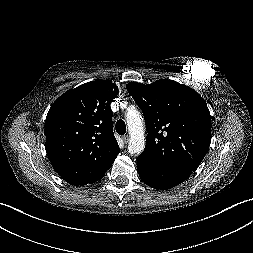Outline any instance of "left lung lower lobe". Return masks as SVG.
Returning a JSON list of instances; mask_svg holds the SVG:
<instances>
[{
  "label": "left lung lower lobe",
  "instance_id": "0a47b994",
  "mask_svg": "<svg viewBox=\"0 0 253 253\" xmlns=\"http://www.w3.org/2000/svg\"><path fill=\"white\" fill-rule=\"evenodd\" d=\"M137 169L140 179L158 190H167L179 185L193 172L190 169H172L159 166L144 154L137 158Z\"/></svg>",
  "mask_w": 253,
  "mask_h": 253
}]
</instances>
